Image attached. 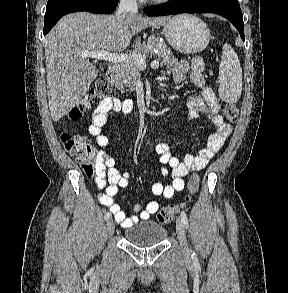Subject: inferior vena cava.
<instances>
[{
    "mask_svg": "<svg viewBox=\"0 0 288 293\" xmlns=\"http://www.w3.org/2000/svg\"><path fill=\"white\" fill-rule=\"evenodd\" d=\"M137 13L138 6L136 0H120L116 16L125 15L126 13Z\"/></svg>",
    "mask_w": 288,
    "mask_h": 293,
    "instance_id": "1",
    "label": "inferior vena cava"
}]
</instances>
